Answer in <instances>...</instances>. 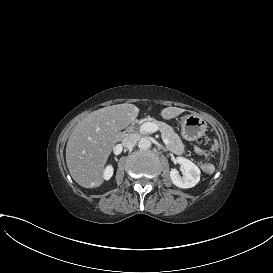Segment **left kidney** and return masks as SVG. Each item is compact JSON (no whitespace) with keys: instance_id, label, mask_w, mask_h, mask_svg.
Instances as JSON below:
<instances>
[{"instance_id":"1","label":"left kidney","mask_w":273,"mask_h":273,"mask_svg":"<svg viewBox=\"0 0 273 273\" xmlns=\"http://www.w3.org/2000/svg\"><path fill=\"white\" fill-rule=\"evenodd\" d=\"M175 162L182 167L183 176H180L177 169H172L170 171V178L173 184L179 188L194 187L200 181V169L193 162L184 157H177Z\"/></svg>"}]
</instances>
